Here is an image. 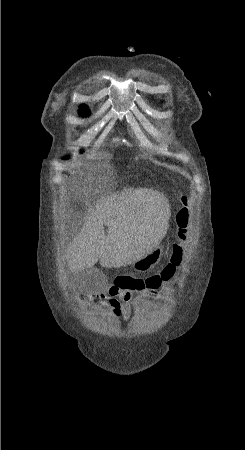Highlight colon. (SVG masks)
Segmentation results:
<instances>
[{
  "label": "colon",
  "instance_id": "obj_1",
  "mask_svg": "<svg viewBox=\"0 0 245 450\" xmlns=\"http://www.w3.org/2000/svg\"><path fill=\"white\" fill-rule=\"evenodd\" d=\"M183 209L176 216V231L178 242L172 246L169 255L168 268L174 269L179 266L184 258V247L189 239L191 229V215L188 210L189 202L187 198L182 199ZM117 284L124 290L131 293L143 288L145 280L142 277L125 276L117 280Z\"/></svg>",
  "mask_w": 245,
  "mask_h": 450
}]
</instances>
